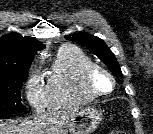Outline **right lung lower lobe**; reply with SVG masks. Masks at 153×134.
Wrapping results in <instances>:
<instances>
[{
	"label": "right lung lower lobe",
	"instance_id": "98d812e1",
	"mask_svg": "<svg viewBox=\"0 0 153 134\" xmlns=\"http://www.w3.org/2000/svg\"><path fill=\"white\" fill-rule=\"evenodd\" d=\"M10 116L9 115H0V119L1 118H9Z\"/></svg>",
	"mask_w": 153,
	"mask_h": 134
}]
</instances>
